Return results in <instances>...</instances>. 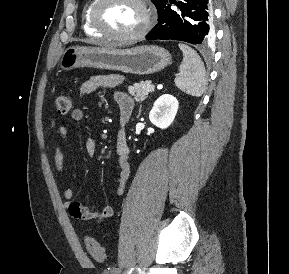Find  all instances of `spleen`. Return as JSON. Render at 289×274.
<instances>
[{"label": "spleen", "mask_w": 289, "mask_h": 274, "mask_svg": "<svg viewBox=\"0 0 289 274\" xmlns=\"http://www.w3.org/2000/svg\"><path fill=\"white\" fill-rule=\"evenodd\" d=\"M183 52V61L176 76L175 85L183 92L199 97L206 85L205 67L197 52L185 44H179Z\"/></svg>", "instance_id": "obj_1"}]
</instances>
